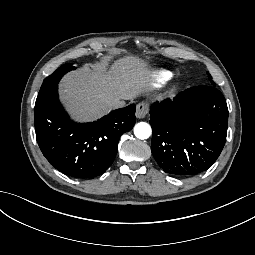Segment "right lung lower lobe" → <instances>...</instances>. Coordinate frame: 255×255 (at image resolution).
I'll return each instance as SVG.
<instances>
[{"label":"right lung lower lobe","mask_w":255,"mask_h":255,"mask_svg":"<svg viewBox=\"0 0 255 255\" xmlns=\"http://www.w3.org/2000/svg\"><path fill=\"white\" fill-rule=\"evenodd\" d=\"M135 104L115 110L97 122L78 124L69 119L58 100L57 86L39 92L34 109L38 145L60 172L93 178L113 163L120 136L136 122Z\"/></svg>","instance_id":"1"}]
</instances>
